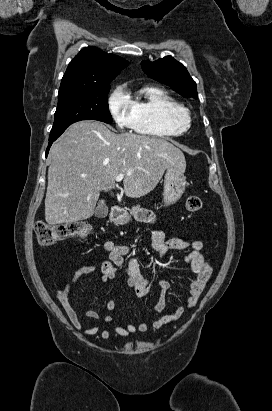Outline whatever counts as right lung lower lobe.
I'll return each instance as SVG.
<instances>
[{
    "label": "right lung lower lobe",
    "instance_id": "98d812e1",
    "mask_svg": "<svg viewBox=\"0 0 272 411\" xmlns=\"http://www.w3.org/2000/svg\"><path fill=\"white\" fill-rule=\"evenodd\" d=\"M57 138H58V137H57ZM57 138L49 139V145H48V147H47L46 156H47V154H48V152H49V149H50L52 143H53Z\"/></svg>",
    "mask_w": 272,
    "mask_h": 411
}]
</instances>
